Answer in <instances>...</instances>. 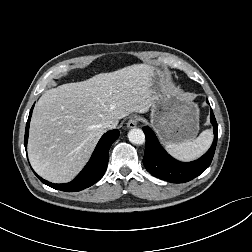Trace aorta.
Instances as JSON below:
<instances>
[{
    "label": "aorta",
    "instance_id": "aorta-1",
    "mask_svg": "<svg viewBox=\"0 0 252 252\" xmlns=\"http://www.w3.org/2000/svg\"><path fill=\"white\" fill-rule=\"evenodd\" d=\"M128 139L133 144L142 145L145 143V134L141 129L134 128L129 131Z\"/></svg>",
    "mask_w": 252,
    "mask_h": 252
}]
</instances>
